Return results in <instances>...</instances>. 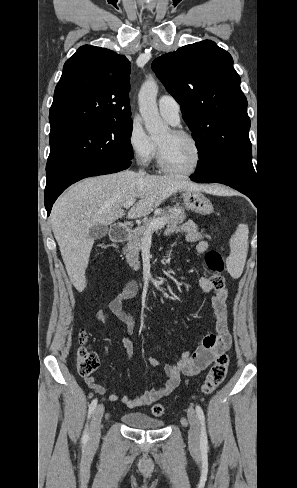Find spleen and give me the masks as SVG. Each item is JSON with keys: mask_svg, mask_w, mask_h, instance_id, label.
<instances>
[{"mask_svg": "<svg viewBox=\"0 0 297 488\" xmlns=\"http://www.w3.org/2000/svg\"><path fill=\"white\" fill-rule=\"evenodd\" d=\"M248 249V227L240 224L230 239V255L227 269L232 278H239L243 272Z\"/></svg>", "mask_w": 297, "mask_h": 488, "instance_id": "1", "label": "spleen"}]
</instances>
